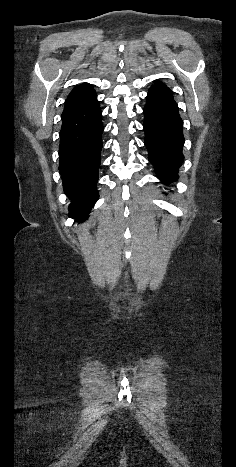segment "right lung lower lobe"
Masks as SVG:
<instances>
[{
  "instance_id": "right-lung-lower-lobe-1",
  "label": "right lung lower lobe",
  "mask_w": 236,
  "mask_h": 467,
  "mask_svg": "<svg viewBox=\"0 0 236 467\" xmlns=\"http://www.w3.org/2000/svg\"><path fill=\"white\" fill-rule=\"evenodd\" d=\"M97 97L86 106L62 115L59 170L71 199L69 217L86 220L99 195L96 188L103 126Z\"/></svg>"
}]
</instances>
